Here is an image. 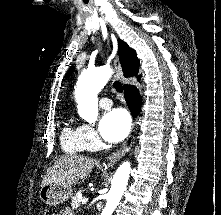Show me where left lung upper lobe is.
<instances>
[{"mask_svg": "<svg viewBox=\"0 0 221 215\" xmlns=\"http://www.w3.org/2000/svg\"><path fill=\"white\" fill-rule=\"evenodd\" d=\"M73 70H74V67L71 66L68 73H67V75H66V78L73 72Z\"/></svg>", "mask_w": 221, "mask_h": 215, "instance_id": "1", "label": "left lung upper lobe"}]
</instances>
